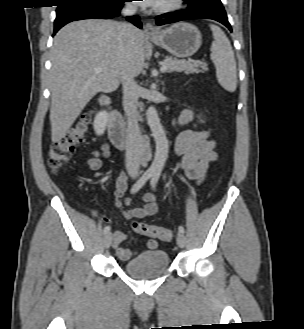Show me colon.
I'll return each mask as SVG.
<instances>
[{
    "mask_svg": "<svg viewBox=\"0 0 304 329\" xmlns=\"http://www.w3.org/2000/svg\"><path fill=\"white\" fill-rule=\"evenodd\" d=\"M94 113L91 109L85 110L70 130L61 138L52 143L49 151V165L53 172L63 169L70 161L75 149L84 141ZM134 231L140 235L169 242L174 238L173 230L151 225L142 221L132 223Z\"/></svg>",
    "mask_w": 304,
    "mask_h": 329,
    "instance_id": "colon-1",
    "label": "colon"
}]
</instances>
